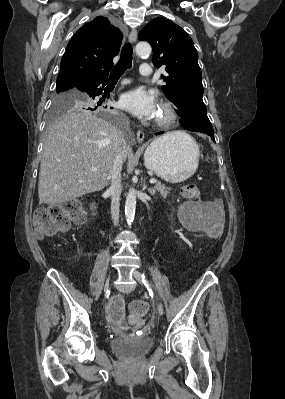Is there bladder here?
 Segmentation results:
<instances>
[{"mask_svg":"<svg viewBox=\"0 0 285 399\" xmlns=\"http://www.w3.org/2000/svg\"><path fill=\"white\" fill-rule=\"evenodd\" d=\"M188 205L181 206V211L186 210ZM111 350L118 356L126 359H138L146 354L154 346L153 338L138 337V338H115L110 343Z\"/></svg>","mask_w":285,"mask_h":399,"instance_id":"1","label":"bladder"}]
</instances>
